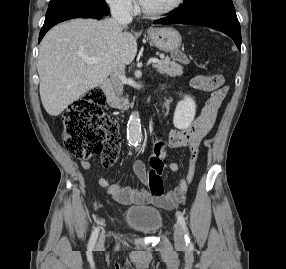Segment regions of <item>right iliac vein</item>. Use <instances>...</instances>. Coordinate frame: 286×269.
Masks as SVG:
<instances>
[{
	"instance_id": "63e3f726",
	"label": "right iliac vein",
	"mask_w": 286,
	"mask_h": 269,
	"mask_svg": "<svg viewBox=\"0 0 286 269\" xmlns=\"http://www.w3.org/2000/svg\"><path fill=\"white\" fill-rule=\"evenodd\" d=\"M104 240H105L104 235H101L100 238H99V240H98V244H97V247H98V248H102V247H103V245H104Z\"/></svg>"
}]
</instances>
